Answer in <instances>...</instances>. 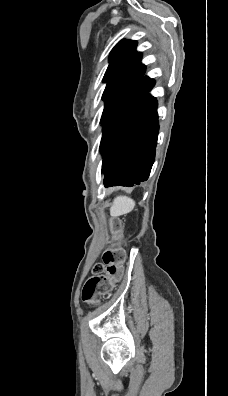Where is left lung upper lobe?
Segmentation results:
<instances>
[{
    "label": "left lung upper lobe",
    "mask_w": 228,
    "mask_h": 396,
    "mask_svg": "<svg viewBox=\"0 0 228 396\" xmlns=\"http://www.w3.org/2000/svg\"><path fill=\"white\" fill-rule=\"evenodd\" d=\"M137 42L121 40L110 53L109 66L103 81L107 82L103 99L105 107L101 123L114 104L132 87L145 73V65L141 64V53L136 51Z\"/></svg>",
    "instance_id": "1"
}]
</instances>
